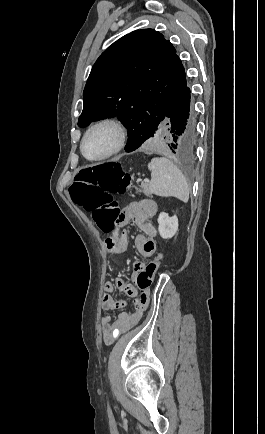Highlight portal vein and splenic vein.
Here are the masks:
<instances>
[{
	"instance_id": "portal-vein-and-splenic-vein-1",
	"label": "portal vein and splenic vein",
	"mask_w": 265,
	"mask_h": 434,
	"mask_svg": "<svg viewBox=\"0 0 265 434\" xmlns=\"http://www.w3.org/2000/svg\"><path fill=\"white\" fill-rule=\"evenodd\" d=\"M143 182H149V180H143Z\"/></svg>"
}]
</instances>
